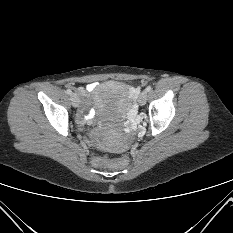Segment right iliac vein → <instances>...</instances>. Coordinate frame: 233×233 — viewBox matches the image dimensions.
I'll return each mask as SVG.
<instances>
[{
	"label": "right iliac vein",
	"mask_w": 233,
	"mask_h": 233,
	"mask_svg": "<svg viewBox=\"0 0 233 233\" xmlns=\"http://www.w3.org/2000/svg\"><path fill=\"white\" fill-rule=\"evenodd\" d=\"M71 103L73 107H78L80 103L79 96L76 93L71 94Z\"/></svg>",
	"instance_id": "obj_1"
}]
</instances>
